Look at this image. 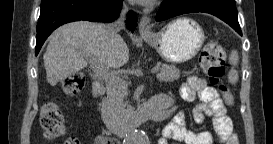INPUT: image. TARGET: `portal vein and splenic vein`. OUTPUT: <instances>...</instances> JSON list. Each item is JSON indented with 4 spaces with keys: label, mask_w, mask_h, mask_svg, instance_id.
<instances>
[{
    "label": "portal vein and splenic vein",
    "mask_w": 273,
    "mask_h": 144,
    "mask_svg": "<svg viewBox=\"0 0 273 144\" xmlns=\"http://www.w3.org/2000/svg\"><path fill=\"white\" fill-rule=\"evenodd\" d=\"M87 59L90 61V63L95 68L96 73L99 75L101 79H103L106 82V85L108 87H120L124 90L128 89V83L126 81L121 80L120 78L108 73V71L104 68L103 65H101L93 56L87 55ZM159 68L154 67L151 70L152 74L158 73Z\"/></svg>",
    "instance_id": "18ae733b"
}]
</instances>
